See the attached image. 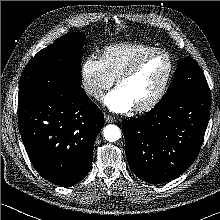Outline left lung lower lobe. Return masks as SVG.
<instances>
[{
  "label": "left lung lower lobe",
  "instance_id": "1",
  "mask_svg": "<svg viewBox=\"0 0 220 220\" xmlns=\"http://www.w3.org/2000/svg\"><path fill=\"white\" fill-rule=\"evenodd\" d=\"M210 105V91L195 92L124 121L127 160L135 175L151 184L180 176L199 153Z\"/></svg>",
  "mask_w": 220,
  "mask_h": 220
}]
</instances>
